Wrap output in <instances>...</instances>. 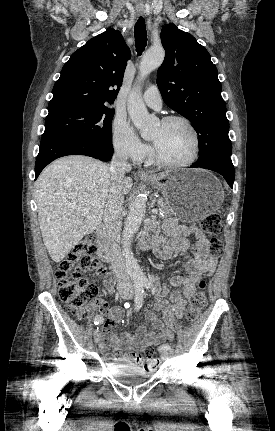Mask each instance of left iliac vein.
Segmentation results:
<instances>
[{
    "instance_id": "1",
    "label": "left iliac vein",
    "mask_w": 275,
    "mask_h": 431,
    "mask_svg": "<svg viewBox=\"0 0 275 431\" xmlns=\"http://www.w3.org/2000/svg\"><path fill=\"white\" fill-rule=\"evenodd\" d=\"M171 356H172L171 349L161 352V359L162 360H168Z\"/></svg>"
}]
</instances>
